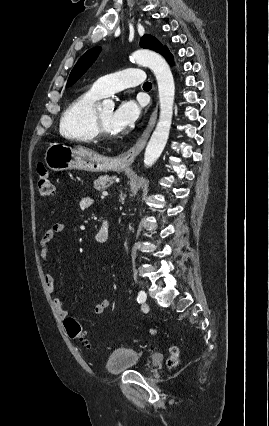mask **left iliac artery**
Here are the masks:
<instances>
[{
	"label": "left iliac artery",
	"mask_w": 269,
	"mask_h": 426,
	"mask_svg": "<svg viewBox=\"0 0 269 426\" xmlns=\"http://www.w3.org/2000/svg\"><path fill=\"white\" fill-rule=\"evenodd\" d=\"M146 293L144 291H140L137 297L138 303H143L146 300Z\"/></svg>",
	"instance_id": "obj_1"
}]
</instances>
